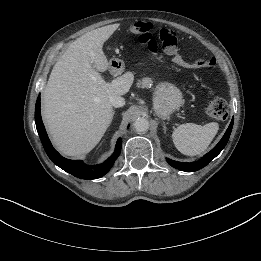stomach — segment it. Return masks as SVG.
<instances>
[{"label": "stomach", "mask_w": 261, "mask_h": 261, "mask_svg": "<svg viewBox=\"0 0 261 261\" xmlns=\"http://www.w3.org/2000/svg\"><path fill=\"white\" fill-rule=\"evenodd\" d=\"M110 66L116 69L117 72L124 68V65L119 64L117 60H112ZM182 103L183 94L174 84L162 81L156 85L153 96V108L159 117L167 118L171 113L178 110Z\"/></svg>", "instance_id": "stomach-1"}]
</instances>
